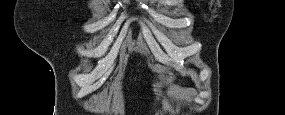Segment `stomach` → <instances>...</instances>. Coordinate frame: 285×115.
Listing matches in <instances>:
<instances>
[{
	"instance_id": "0dacf381",
	"label": "stomach",
	"mask_w": 285,
	"mask_h": 115,
	"mask_svg": "<svg viewBox=\"0 0 285 115\" xmlns=\"http://www.w3.org/2000/svg\"><path fill=\"white\" fill-rule=\"evenodd\" d=\"M175 79V76L173 74H169V76L163 81V82H156L153 85V91L157 97H160L162 95V89L164 85H167L169 83H172Z\"/></svg>"
}]
</instances>
